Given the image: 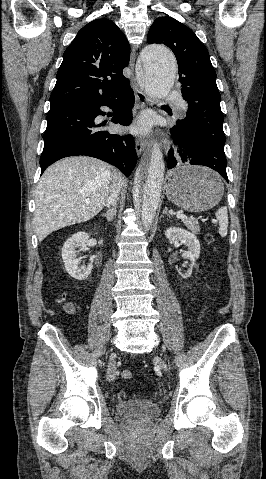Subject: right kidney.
<instances>
[{"label": "right kidney", "mask_w": 266, "mask_h": 479, "mask_svg": "<svg viewBox=\"0 0 266 479\" xmlns=\"http://www.w3.org/2000/svg\"><path fill=\"white\" fill-rule=\"evenodd\" d=\"M89 234L86 232H78L72 237L66 240L62 247V259L64 262L65 270L68 274L79 281L87 279L93 268L94 259L91 257L87 265H81L80 259L77 258L78 247L87 249L86 243L88 242Z\"/></svg>", "instance_id": "1"}]
</instances>
